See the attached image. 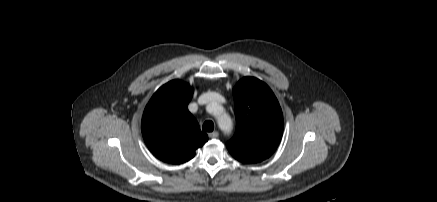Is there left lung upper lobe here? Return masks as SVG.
<instances>
[{"label":"left lung upper lobe","mask_w":437,"mask_h":202,"mask_svg":"<svg viewBox=\"0 0 437 202\" xmlns=\"http://www.w3.org/2000/svg\"><path fill=\"white\" fill-rule=\"evenodd\" d=\"M236 131L227 143L231 155L247 164L269 158L283 134V114L271 89L254 77L241 79L233 88Z\"/></svg>","instance_id":"obj_1"}]
</instances>
